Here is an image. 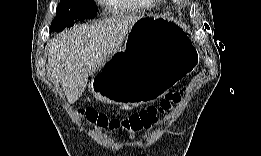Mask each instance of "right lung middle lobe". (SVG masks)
I'll return each instance as SVG.
<instances>
[{
    "instance_id": "obj_1",
    "label": "right lung middle lobe",
    "mask_w": 261,
    "mask_h": 156,
    "mask_svg": "<svg viewBox=\"0 0 261 156\" xmlns=\"http://www.w3.org/2000/svg\"><path fill=\"white\" fill-rule=\"evenodd\" d=\"M97 5L91 0H61L57 7L50 31H62L74 25V22L97 16Z\"/></svg>"
}]
</instances>
